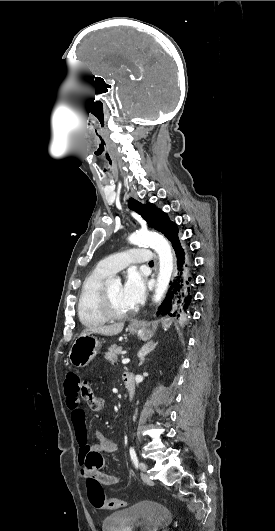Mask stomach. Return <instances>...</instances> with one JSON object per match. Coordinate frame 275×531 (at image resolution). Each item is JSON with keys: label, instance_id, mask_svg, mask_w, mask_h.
<instances>
[{"label": "stomach", "instance_id": "1", "mask_svg": "<svg viewBox=\"0 0 275 531\" xmlns=\"http://www.w3.org/2000/svg\"><path fill=\"white\" fill-rule=\"evenodd\" d=\"M164 331L170 329L172 325V319H162L161 321ZM136 325V327H131ZM129 333L136 335L141 341H150L154 335L152 327L146 321H132L129 325ZM102 349V341L95 337L93 333H86V335H80L75 339L70 351L69 361L74 367H86Z\"/></svg>", "mask_w": 275, "mask_h": 531}]
</instances>
